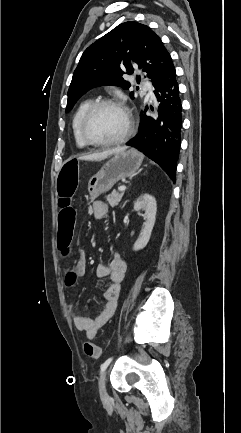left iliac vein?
<instances>
[{
	"label": "left iliac vein",
	"instance_id": "1",
	"mask_svg": "<svg viewBox=\"0 0 241 433\" xmlns=\"http://www.w3.org/2000/svg\"><path fill=\"white\" fill-rule=\"evenodd\" d=\"M106 374L107 372H103L101 378L99 380V392L102 400L107 401L109 399L107 391H106Z\"/></svg>",
	"mask_w": 241,
	"mask_h": 433
}]
</instances>
